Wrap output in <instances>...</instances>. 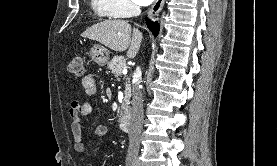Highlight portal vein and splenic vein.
<instances>
[{
	"label": "portal vein and splenic vein",
	"mask_w": 277,
	"mask_h": 166,
	"mask_svg": "<svg viewBox=\"0 0 277 166\" xmlns=\"http://www.w3.org/2000/svg\"><path fill=\"white\" fill-rule=\"evenodd\" d=\"M122 72H123V74H126V73H127V70H126V69H123Z\"/></svg>",
	"instance_id": "1"
}]
</instances>
